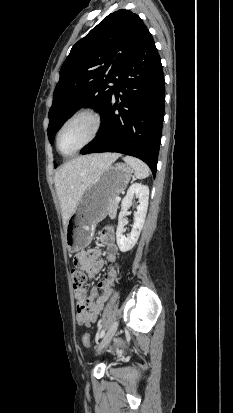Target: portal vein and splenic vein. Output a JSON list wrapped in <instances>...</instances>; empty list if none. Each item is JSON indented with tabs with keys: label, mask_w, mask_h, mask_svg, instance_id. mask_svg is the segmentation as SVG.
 Masks as SVG:
<instances>
[{
	"label": "portal vein and splenic vein",
	"mask_w": 233,
	"mask_h": 413,
	"mask_svg": "<svg viewBox=\"0 0 233 413\" xmlns=\"http://www.w3.org/2000/svg\"><path fill=\"white\" fill-rule=\"evenodd\" d=\"M115 200H116L117 202H119V201L121 200V198H120V197H116Z\"/></svg>",
	"instance_id": "1"
}]
</instances>
